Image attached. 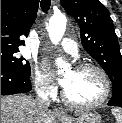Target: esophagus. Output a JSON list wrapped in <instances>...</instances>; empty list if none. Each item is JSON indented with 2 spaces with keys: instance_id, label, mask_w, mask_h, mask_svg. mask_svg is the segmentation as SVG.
Masks as SVG:
<instances>
[{
  "instance_id": "esophagus-1",
  "label": "esophagus",
  "mask_w": 122,
  "mask_h": 123,
  "mask_svg": "<svg viewBox=\"0 0 122 123\" xmlns=\"http://www.w3.org/2000/svg\"><path fill=\"white\" fill-rule=\"evenodd\" d=\"M53 114L57 116L64 115V112L58 108L53 109Z\"/></svg>"
}]
</instances>
